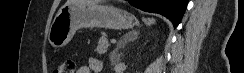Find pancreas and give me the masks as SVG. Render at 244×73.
I'll list each match as a JSON object with an SVG mask.
<instances>
[{
    "mask_svg": "<svg viewBox=\"0 0 244 73\" xmlns=\"http://www.w3.org/2000/svg\"><path fill=\"white\" fill-rule=\"evenodd\" d=\"M109 43L106 37H101L98 41V45L95 49V52L99 55H103L107 53V50L109 48ZM114 62H117V60H114Z\"/></svg>",
    "mask_w": 244,
    "mask_h": 73,
    "instance_id": "obj_1",
    "label": "pancreas"
}]
</instances>
